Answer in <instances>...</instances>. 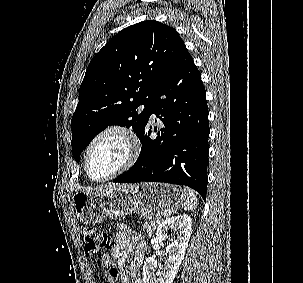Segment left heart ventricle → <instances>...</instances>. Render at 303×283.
I'll list each match as a JSON object with an SVG mask.
<instances>
[{"instance_id": "b2bd125f", "label": "left heart ventricle", "mask_w": 303, "mask_h": 283, "mask_svg": "<svg viewBox=\"0 0 303 283\" xmlns=\"http://www.w3.org/2000/svg\"><path fill=\"white\" fill-rule=\"evenodd\" d=\"M128 147L120 135L110 134L101 138L92 148L88 170L94 178H103L123 164Z\"/></svg>"}]
</instances>
